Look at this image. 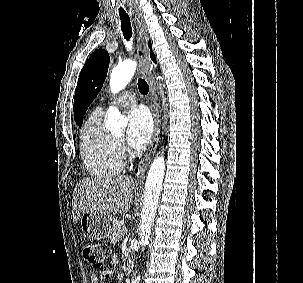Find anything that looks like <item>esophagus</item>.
<instances>
[{"mask_svg": "<svg viewBox=\"0 0 303 283\" xmlns=\"http://www.w3.org/2000/svg\"><path fill=\"white\" fill-rule=\"evenodd\" d=\"M135 25L137 29V55L140 61V75H142L149 83L150 93V107L154 118V132L148 150L141 160L138 167V174L136 182L142 184L144 182L146 170L150 164L152 157L154 156L160 137L161 119L159 114V108L157 104L156 87L153 83L152 72L150 68V59L147 47V30L139 17L135 19Z\"/></svg>", "mask_w": 303, "mask_h": 283, "instance_id": "esophagus-1", "label": "esophagus"}]
</instances>
